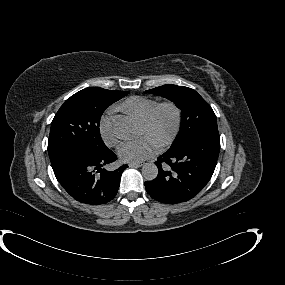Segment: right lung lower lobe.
<instances>
[{
  "label": "right lung lower lobe",
  "mask_w": 285,
  "mask_h": 285,
  "mask_svg": "<svg viewBox=\"0 0 285 285\" xmlns=\"http://www.w3.org/2000/svg\"><path fill=\"white\" fill-rule=\"evenodd\" d=\"M116 159L115 153L109 149L99 156L68 150L53 158L51 164L57 180L73 198L80 202L101 204L114 198L120 176L128 167L123 165L115 171L101 168ZM98 172L100 174L96 175Z\"/></svg>",
  "instance_id": "1"
}]
</instances>
